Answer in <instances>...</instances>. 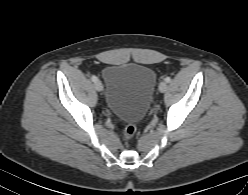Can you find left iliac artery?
Returning a JSON list of instances; mask_svg holds the SVG:
<instances>
[{
	"instance_id": "1",
	"label": "left iliac artery",
	"mask_w": 248,
	"mask_h": 195,
	"mask_svg": "<svg viewBox=\"0 0 248 195\" xmlns=\"http://www.w3.org/2000/svg\"><path fill=\"white\" fill-rule=\"evenodd\" d=\"M165 81H166L167 83H169V82L171 81V78H170V77H166V78H165Z\"/></svg>"
}]
</instances>
